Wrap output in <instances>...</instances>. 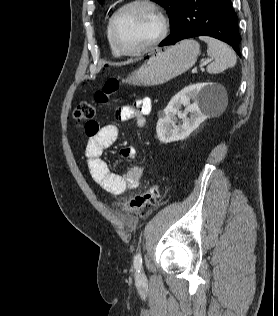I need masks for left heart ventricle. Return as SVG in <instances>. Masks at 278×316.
<instances>
[{"instance_id":"1","label":"left heart ventricle","mask_w":278,"mask_h":316,"mask_svg":"<svg viewBox=\"0 0 278 316\" xmlns=\"http://www.w3.org/2000/svg\"><path fill=\"white\" fill-rule=\"evenodd\" d=\"M159 31L156 15L145 6H134L121 14L116 33L119 43L126 49L135 50L151 42Z\"/></svg>"}]
</instances>
